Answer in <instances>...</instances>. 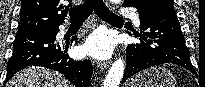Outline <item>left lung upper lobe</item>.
I'll use <instances>...</instances> for the list:
<instances>
[{"label":"left lung upper lobe","instance_id":"obj_1","mask_svg":"<svg viewBox=\"0 0 205 87\" xmlns=\"http://www.w3.org/2000/svg\"><path fill=\"white\" fill-rule=\"evenodd\" d=\"M157 2L173 3V0H124V6L143 7Z\"/></svg>","mask_w":205,"mask_h":87}]
</instances>
